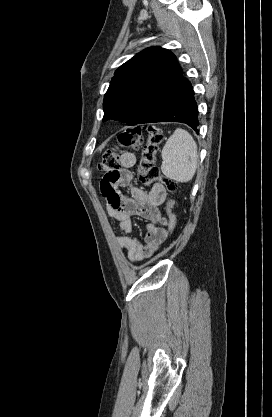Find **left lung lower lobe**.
<instances>
[{"label":"left lung lower lobe","instance_id":"1","mask_svg":"<svg viewBox=\"0 0 272 417\" xmlns=\"http://www.w3.org/2000/svg\"><path fill=\"white\" fill-rule=\"evenodd\" d=\"M181 122L199 131L198 107L191 83L179 78L169 93L141 123Z\"/></svg>","mask_w":272,"mask_h":417}]
</instances>
